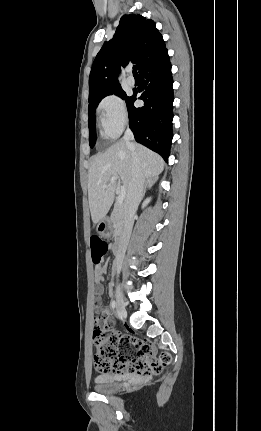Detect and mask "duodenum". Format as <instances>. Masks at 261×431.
I'll use <instances>...</instances> for the list:
<instances>
[{
  "label": "duodenum",
  "instance_id": "410a0bca",
  "mask_svg": "<svg viewBox=\"0 0 261 431\" xmlns=\"http://www.w3.org/2000/svg\"><path fill=\"white\" fill-rule=\"evenodd\" d=\"M120 245H121V240H120V239H118V240L113 244V246H112V251H113L115 254H119V252H120Z\"/></svg>",
  "mask_w": 261,
  "mask_h": 431
}]
</instances>
